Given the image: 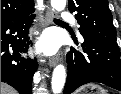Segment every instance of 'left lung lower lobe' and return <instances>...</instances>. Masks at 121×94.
<instances>
[{"label": "left lung lower lobe", "mask_w": 121, "mask_h": 94, "mask_svg": "<svg viewBox=\"0 0 121 94\" xmlns=\"http://www.w3.org/2000/svg\"><path fill=\"white\" fill-rule=\"evenodd\" d=\"M82 54L71 48L67 54L68 75L63 94L81 85L97 82L121 91L120 49L116 41L83 36Z\"/></svg>", "instance_id": "obj_1"}]
</instances>
